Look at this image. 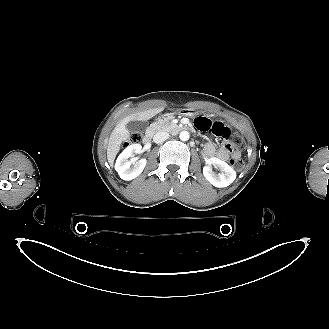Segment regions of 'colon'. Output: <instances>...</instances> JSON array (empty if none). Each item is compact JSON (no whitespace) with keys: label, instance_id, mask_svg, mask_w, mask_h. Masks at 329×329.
I'll use <instances>...</instances> for the list:
<instances>
[{"label":"colon","instance_id":"obj_1","mask_svg":"<svg viewBox=\"0 0 329 329\" xmlns=\"http://www.w3.org/2000/svg\"><path fill=\"white\" fill-rule=\"evenodd\" d=\"M140 140H141V134L138 133V132H136V133H133L130 136L128 142L129 143H137ZM227 145L228 146L233 145L234 147L241 149V148H244L245 142H244V139L241 136L237 135V136L231 138V141ZM230 163H231V166L235 170H238V171L241 170L244 167V162L240 158H232L231 161H230Z\"/></svg>","mask_w":329,"mask_h":329}]
</instances>
